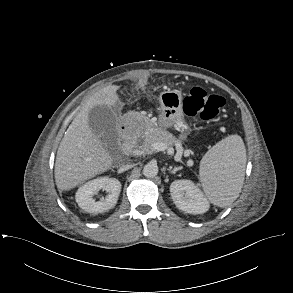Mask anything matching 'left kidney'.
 <instances>
[{
  "instance_id": "5707ae66",
  "label": "left kidney",
  "mask_w": 293,
  "mask_h": 293,
  "mask_svg": "<svg viewBox=\"0 0 293 293\" xmlns=\"http://www.w3.org/2000/svg\"><path fill=\"white\" fill-rule=\"evenodd\" d=\"M170 194L176 207L185 213L202 214L209 210V201L191 180L173 181Z\"/></svg>"
}]
</instances>
